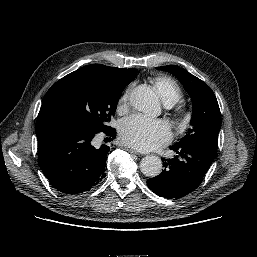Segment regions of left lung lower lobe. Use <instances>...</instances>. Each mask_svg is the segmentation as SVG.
Masks as SVG:
<instances>
[{"label":"left lung lower lobe","mask_w":257,"mask_h":257,"mask_svg":"<svg viewBox=\"0 0 257 257\" xmlns=\"http://www.w3.org/2000/svg\"><path fill=\"white\" fill-rule=\"evenodd\" d=\"M177 155L164 159V170L147 180V186L158 196L182 198L194 191L216 157L217 149L202 143L174 144Z\"/></svg>","instance_id":"left-lung-lower-lobe-1"}]
</instances>
